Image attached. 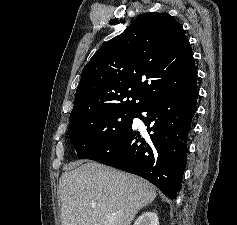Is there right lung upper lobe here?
Returning <instances> with one entry per match:
<instances>
[{
  "label": "right lung upper lobe",
  "instance_id": "1",
  "mask_svg": "<svg viewBox=\"0 0 237 225\" xmlns=\"http://www.w3.org/2000/svg\"><path fill=\"white\" fill-rule=\"evenodd\" d=\"M197 84L183 27L168 13L140 15L83 68L69 124L112 111L136 112L166 89Z\"/></svg>",
  "mask_w": 237,
  "mask_h": 225
}]
</instances>
